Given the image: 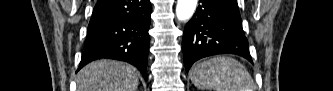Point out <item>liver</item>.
Here are the masks:
<instances>
[{
    "label": "liver",
    "instance_id": "obj_1",
    "mask_svg": "<svg viewBox=\"0 0 333 91\" xmlns=\"http://www.w3.org/2000/svg\"><path fill=\"white\" fill-rule=\"evenodd\" d=\"M138 70L114 60H97L77 75V91H136Z\"/></svg>",
    "mask_w": 333,
    "mask_h": 91
}]
</instances>
